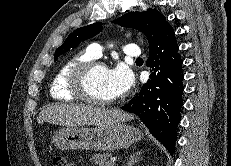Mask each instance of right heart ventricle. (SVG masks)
Segmentation results:
<instances>
[{
  "instance_id": "e07e8e85",
  "label": "right heart ventricle",
  "mask_w": 231,
  "mask_h": 166,
  "mask_svg": "<svg viewBox=\"0 0 231 166\" xmlns=\"http://www.w3.org/2000/svg\"><path fill=\"white\" fill-rule=\"evenodd\" d=\"M96 57L88 49L80 51L67 59L55 74L51 87L50 95L57 101H72L78 97L71 91L69 83L72 72L81 64L95 60Z\"/></svg>"
}]
</instances>
